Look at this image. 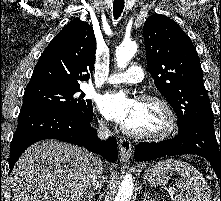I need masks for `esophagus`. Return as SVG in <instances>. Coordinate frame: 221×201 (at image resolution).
<instances>
[{
	"label": "esophagus",
	"instance_id": "1",
	"mask_svg": "<svg viewBox=\"0 0 221 201\" xmlns=\"http://www.w3.org/2000/svg\"><path fill=\"white\" fill-rule=\"evenodd\" d=\"M118 143L121 160L129 161L132 155V145L130 141L125 138H119Z\"/></svg>",
	"mask_w": 221,
	"mask_h": 201
}]
</instances>
